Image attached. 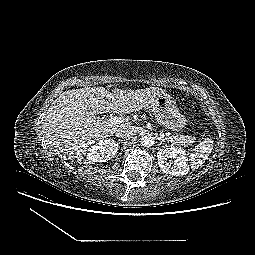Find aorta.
Instances as JSON below:
<instances>
[{
  "instance_id": "762f6f07",
  "label": "aorta",
  "mask_w": 255,
  "mask_h": 255,
  "mask_svg": "<svg viewBox=\"0 0 255 255\" xmlns=\"http://www.w3.org/2000/svg\"><path fill=\"white\" fill-rule=\"evenodd\" d=\"M141 145L144 147H151L155 144V137L151 134L141 136Z\"/></svg>"
}]
</instances>
